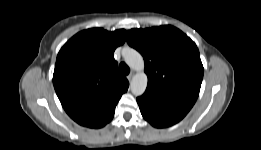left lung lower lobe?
<instances>
[{
  "label": "left lung lower lobe",
  "instance_id": "1",
  "mask_svg": "<svg viewBox=\"0 0 261 150\" xmlns=\"http://www.w3.org/2000/svg\"><path fill=\"white\" fill-rule=\"evenodd\" d=\"M137 102L144 119L157 128L179 122L190 110L174 102L146 95L138 97Z\"/></svg>",
  "mask_w": 261,
  "mask_h": 150
}]
</instances>
